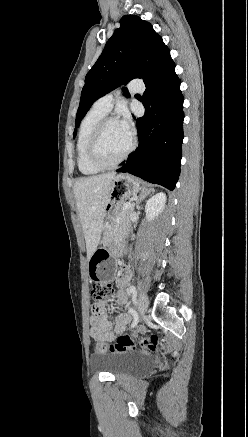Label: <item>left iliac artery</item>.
Wrapping results in <instances>:
<instances>
[{
  "label": "left iliac artery",
  "mask_w": 248,
  "mask_h": 437,
  "mask_svg": "<svg viewBox=\"0 0 248 437\" xmlns=\"http://www.w3.org/2000/svg\"><path fill=\"white\" fill-rule=\"evenodd\" d=\"M129 292L130 293H132V294H135L136 293V287L135 286H130V288H129ZM130 312H131V314L133 315V317H134V320H133V322H132V324H131V327H134V326H136L137 325V323H138V315H137V313L131 308L130 309Z\"/></svg>",
  "instance_id": "obj_1"
}]
</instances>
